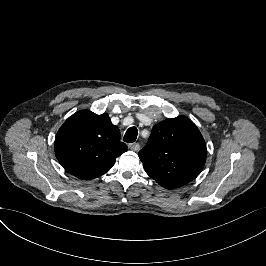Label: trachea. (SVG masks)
Returning a JSON list of instances; mask_svg holds the SVG:
<instances>
[{"label":"trachea","instance_id":"1","mask_svg":"<svg viewBox=\"0 0 266 266\" xmlns=\"http://www.w3.org/2000/svg\"><path fill=\"white\" fill-rule=\"evenodd\" d=\"M137 134H138V131H137V128L136 127H130L126 134L124 135V142H127V143H133L135 142L136 138H137Z\"/></svg>","mask_w":266,"mask_h":266}]
</instances>
